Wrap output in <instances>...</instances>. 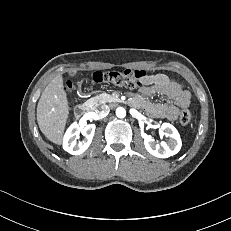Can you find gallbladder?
<instances>
[{
    "mask_svg": "<svg viewBox=\"0 0 231 231\" xmlns=\"http://www.w3.org/2000/svg\"><path fill=\"white\" fill-rule=\"evenodd\" d=\"M76 75V72H71L70 73V76H75Z\"/></svg>",
    "mask_w": 231,
    "mask_h": 231,
    "instance_id": "obj_1",
    "label": "gallbladder"
}]
</instances>
